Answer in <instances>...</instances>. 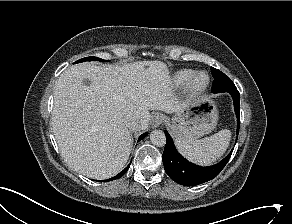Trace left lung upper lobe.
Returning a JSON list of instances; mask_svg holds the SVG:
<instances>
[{"instance_id":"1","label":"left lung upper lobe","mask_w":292,"mask_h":224,"mask_svg":"<svg viewBox=\"0 0 292 224\" xmlns=\"http://www.w3.org/2000/svg\"><path fill=\"white\" fill-rule=\"evenodd\" d=\"M210 69L214 77L211 89L213 93L222 92L224 89L234 85L230 78L227 77L224 73L213 67H211Z\"/></svg>"}]
</instances>
